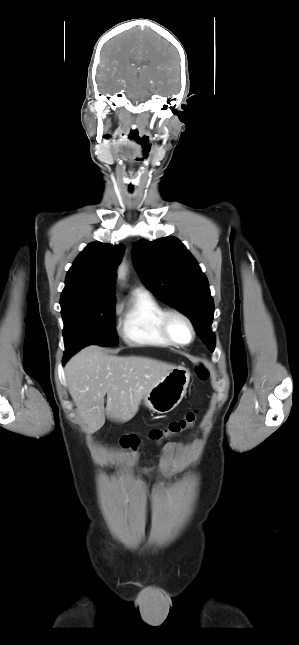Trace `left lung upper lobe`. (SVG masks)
<instances>
[{
    "mask_svg": "<svg viewBox=\"0 0 299 645\" xmlns=\"http://www.w3.org/2000/svg\"><path fill=\"white\" fill-rule=\"evenodd\" d=\"M132 256L145 286L160 300L188 316L199 337L213 352L214 302L208 280L181 241L175 237L153 242L142 239L133 245Z\"/></svg>",
    "mask_w": 299,
    "mask_h": 645,
    "instance_id": "1",
    "label": "left lung upper lobe"
}]
</instances>
